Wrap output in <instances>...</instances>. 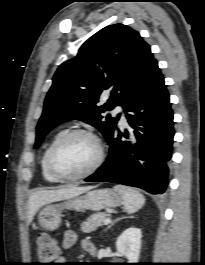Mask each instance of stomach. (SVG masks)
<instances>
[{"instance_id": "0dacf381", "label": "stomach", "mask_w": 205, "mask_h": 265, "mask_svg": "<svg viewBox=\"0 0 205 265\" xmlns=\"http://www.w3.org/2000/svg\"><path fill=\"white\" fill-rule=\"evenodd\" d=\"M122 197L113 189H96L85 195L68 198L62 204L46 205L39 213L38 222L47 231H54L61 224V213L64 209L99 212L104 208H114L122 204Z\"/></svg>"}]
</instances>
